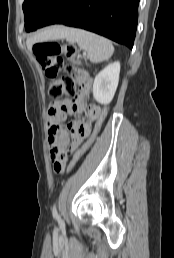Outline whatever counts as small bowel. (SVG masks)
Listing matches in <instances>:
<instances>
[{
	"mask_svg": "<svg viewBox=\"0 0 174 258\" xmlns=\"http://www.w3.org/2000/svg\"><path fill=\"white\" fill-rule=\"evenodd\" d=\"M79 75L81 83L78 97L74 101L67 99L53 101L47 111L48 144L54 168L53 175H67V170L64 169L71 151L82 143L96 123V118H84L83 124L70 121L67 124V130L62 128L69 114L83 110V99L90 86L91 78L85 72H79ZM85 111L84 117H98L100 112L98 101L92 100L91 104H87ZM68 132L72 135L71 144Z\"/></svg>",
	"mask_w": 174,
	"mask_h": 258,
	"instance_id": "obj_1",
	"label": "small bowel"
}]
</instances>
